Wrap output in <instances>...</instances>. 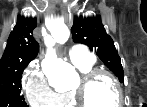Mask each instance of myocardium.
I'll return each mask as SVG.
<instances>
[{"mask_svg":"<svg viewBox=\"0 0 147 107\" xmlns=\"http://www.w3.org/2000/svg\"><path fill=\"white\" fill-rule=\"evenodd\" d=\"M101 76L107 77L114 84L118 94L117 105L123 104V91L117 78L106 70L92 69L83 73L78 85L71 90L77 107H90L86 100V91L88 87Z\"/></svg>","mask_w":147,"mask_h":107,"instance_id":"obj_1","label":"myocardium"}]
</instances>
